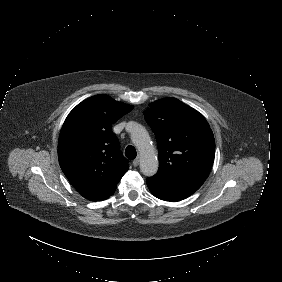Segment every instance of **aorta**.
Listing matches in <instances>:
<instances>
[{
	"label": "aorta",
	"mask_w": 282,
	"mask_h": 282,
	"mask_svg": "<svg viewBox=\"0 0 282 282\" xmlns=\"http://www.w3.org/2000/svg\"><path fill=\"white\" fill-rule=\"evenodd\" d=\"M126 130L130 134L132 143L141 153L140 172L146 177H153L158 171L159 163L146 128L136 121H129Z\"/></svg>",
	"instance_id": "obj_1"
}]
</instances>
